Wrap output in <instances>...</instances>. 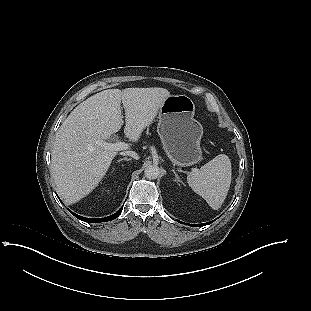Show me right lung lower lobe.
Returning a JSON list of instances; mask_svg holds the SVG:
<instances>
[{
	"label": "right lung lower lobe",
	"mask_w": 311,
	"mask_h": 311,
	"mask_svg": "<svg viewBox=\"0 0 311 311\" xmlns=\"http://www.w3.org/2000/svg\"><path fill=\"white\" fill-rule=\"evenodd\" d=\"M123 207H121L116 213H114L113 215L111 216H108V217H105V218H99V219H90V218H85V217H82V216H79L73 212H71L76 218L82 220V221H85V222H90V223H98V222H107V221H110V220H113L115 218H117L121 211H122Z\"/></svg>",
	"instance_id": "98d812e1"
}]
</instances>
